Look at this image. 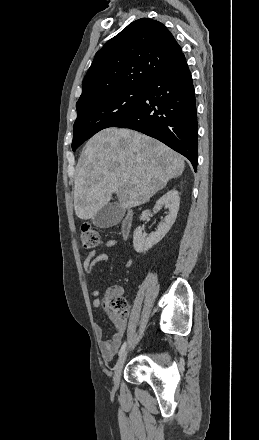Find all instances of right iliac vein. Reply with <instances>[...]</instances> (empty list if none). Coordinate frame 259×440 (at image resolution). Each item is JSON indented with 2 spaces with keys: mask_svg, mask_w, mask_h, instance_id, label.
I'll use <instances>...</instances> for the list:
<instances>
[{
  "mask_svg": "<svg viewBox=\"0 0 259 440\" xmlns=\"http://www.w3.org/2000/svg\"><path fill=\"white\" fill-rule=\"evenodd\" d=\"M127 353H128L127 350L124 351L120 355V357H119V359H118V361H117V363L115 365L114 376H113V381H114L115 386H118V384H119L121 372H122L124 363L126 361Z\"/></svg>",
  "mask_w": 259,
  "mask_h": 440,
  "instance_id": "63e3f726",
  "label": "right iliac vein"
}]
</instances>
